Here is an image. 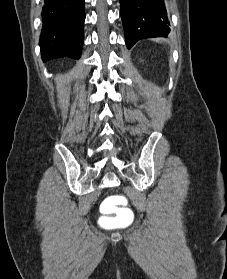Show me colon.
I'll return each instance as SVG.
<instances>
[{
    "label": "colon",
    "instance_id": "5ec220e1",
    "mask_svg": "<svg viewBox=\"0 0 227 279\" xmlns=\"http://www.w3.org/2000/svg\"><path fill=\"white\" fill-rule=\"evenodd\" d=\"M114 202L122 205L127 201V196L124 194H116L112 196ZM130 217V210L125 206H120L115 213H107L103 215V224L106 227H110L113 222H123Z\"/></svg>",
    "mask_w": 227,
    "mask_h": 279
}]
</instances>
